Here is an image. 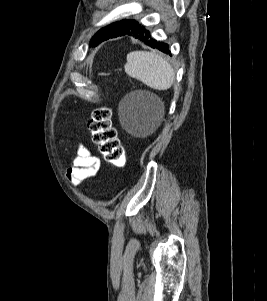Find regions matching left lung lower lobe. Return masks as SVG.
<instances>
[{
  "label": "left lung lower lobe",
  "instance_id": "left-lung-lower-lobe-1",
  "mask_svg": "<svg viewBox=\"0 0 267 301\" xmlns=\"http://www.w3.org/2000/svg\"><path fill=\"white\" fill-rule=\"evenodd\" d=\"M123 35L132 36L153 48L159 49L160 51H162L164 53H170V51L168 50V44H165L163 42H157L152 38L149 39V32L147 30H145L144 27H140V25H138L137 27L131 29L130 31H128L124 34L111 35L109 38H115V37L123 36ZM109 38H107L105 40H108Z\"/></svg>",
  "mask_w": 267,
  "mask_h": 301
}]
</instances>
